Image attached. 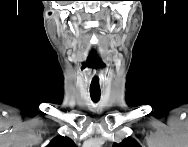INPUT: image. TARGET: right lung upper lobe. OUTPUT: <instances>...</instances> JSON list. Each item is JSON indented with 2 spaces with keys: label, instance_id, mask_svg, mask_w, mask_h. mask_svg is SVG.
I'll return each mask as SVG.
<instances>
[{
  "label": "right lung upper lobe",
  "instance_id": "1",
  "mask_svg": "<svg viewBox=\"0 0 188 147\" xmlns=\"http://www.w3.org/2000/svg\"><path fill=\"white\" fill-rule=\"evenodd\" d=\"M74 142L68 137L58 136L47 147H74Z\"/></svg>",
  "mask_w": 188,
  "mask_h": 147
}]
</instances>
